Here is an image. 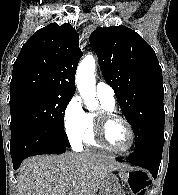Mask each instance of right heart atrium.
Wrapping results in <instances>:
<instances>
[{
	"mask_svg": "<svg viewBox=\"0 0 178 195\" xmlns=\"http://www.w3.org/2000/svg\"><path fill=\"white\" fill-rule=\"evenodd\" d=\"M64 130L69 141L79 146L84 142L88 130L87 114L79 96H73L63 113Z\"/></svg>",
	"mask_w": 178,
	"mask_h": 195,
	"instance_id": "obj_1",
	"label": "right heart atrium"
}]
</instances>
